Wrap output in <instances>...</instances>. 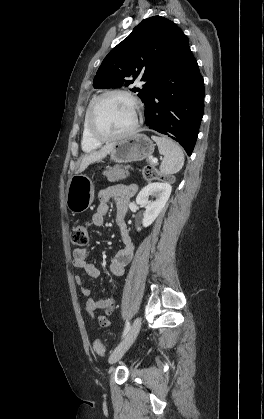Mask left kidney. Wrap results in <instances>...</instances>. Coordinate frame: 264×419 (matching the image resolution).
<instances>
[{"mask_svg":"<svg viewBox=\"0 0 264 419\" xmlns=\"http://www.w3.org/2000/svg\"><path fill=\"white\" fill-rule=\"evenodd\" d=\"M172 187L167 182H154L145 186L137 195L136 203L145 207L143 227L150 226L158 217L171 194ZM153 196L154 201H148ZM141 230V228H138Z\"/></svg>","mask_w":264,"mask_h":419,"instance_id":"obj_1","label":"left kidney"}]
</instances>
